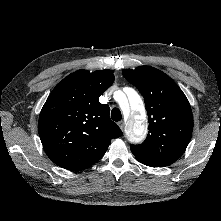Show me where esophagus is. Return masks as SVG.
I'll return each instance as SVG.
<instances>
[{"instance_id": "esophagus-1", "label": "esophagus", "mask_w": 221, "mask_h": 221, "mask_svg": "<svg viewBox=\"0 0 221 221\" xmlns=\"http://www.w3.org/2000/svg\"><path fill=\"white\" fill-rule=\"evenodd\" d=\"M118 125H119V127H120L121 130H124V128H125V123H124V121H120V122L118 123Z\"/></svg>"}]
</instances>
